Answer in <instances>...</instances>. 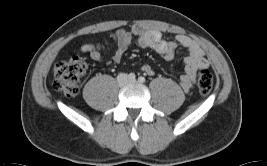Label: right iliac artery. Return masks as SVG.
<instances>
[{"label":"right iliac artery","instance_id":"obj_1","mask_svg":"<svg viewBox=\"0 0 267 166\" xmlns=\"http://www.w3.org/2000/svg\"><path fill=\"white\" fill-rule=\"evenodd\" d=\"M135 74L134 73H130L129 75H128V78L130 79V80H134L135 79Z\"/></svg>","mask_w":267,"mask_h":166}]
</instances>
